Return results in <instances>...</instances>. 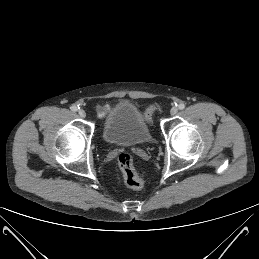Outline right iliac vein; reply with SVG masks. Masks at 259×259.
<instances>
[{
  "instance_id": "obj_1",
  "label": "right iliac vein",
  "mask_w": 259,
  "mask_h": 259,
  "mask_svg": "<svg viewBox=\"0 0 259 259\" xmlns=\"http://www.w3.org/2000/svg\"><path fill=\"white\" fill-rule=\"evenodd\" d=\"M78 114H79V116H80L81 118H85V117H86V112H85L84 110H82V109H80V110L78 111Z\"/></svg>"
}]
</instances>
